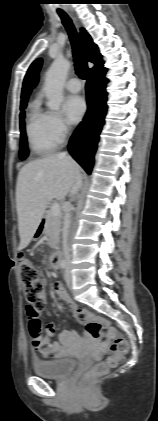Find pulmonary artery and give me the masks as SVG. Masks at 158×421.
<instances>
[{
	"label": "pulmonary artery",
	"instance_id": "1",
	"mask_svg": "<svg viewBox=\"0 0 158 421\" xmlns=\"http://www.w3.org/2000/svg\"><path fill=\"white\" fill-rule=\"evenodd\" d=\"M65 87L68 91L76 93L81 90V82L78 78H71L66 82Z\"/></svg>",
	"mask_w": 158,
	"mask_h": 421
}]
</instances>
